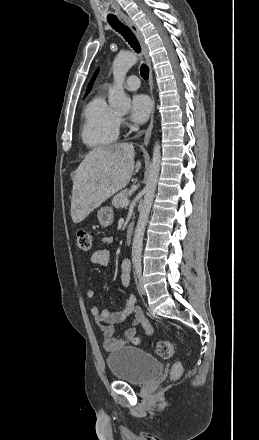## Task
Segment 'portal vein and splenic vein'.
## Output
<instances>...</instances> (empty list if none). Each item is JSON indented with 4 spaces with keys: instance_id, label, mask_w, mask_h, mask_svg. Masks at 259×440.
I'll return each instance as SVG.
<instances>
[{
    "instance_id": "1",
    "label": "portal vein and splenic vein",
    "mask_w": 259,
    "mask_h": 440,
    "mask_svg": "<svg viewBox=\"0 0 259 440\" xmlns=\"http://www.w3.org/2000/svg\"><path fill=\"white\" fill-rule=\"evenodd\" d=\"M128 205H129V200H128V199L123 200V201L121 202V206H122V207H126V206H128Z\"/></svg>"
}]
</instances>
